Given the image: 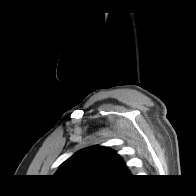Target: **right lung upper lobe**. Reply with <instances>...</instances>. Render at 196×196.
Masks as SVG:
<instances>
[{
	"label": "right lung upper lobe",
	"instance_id": "right-lung-upper-lobe-1",
	"mask_svg": "<svg viewBox=\"0 0 196 196\" xmlns=\"http://www.w3.org/2000/svg\"><path fill=\"white\" fill-rule=\"evenodd\" d=\"M56 175L98 181L126 177L129 176V172L114 151L106 147L93 146L67 159Z\"/></svg>",
	"mask_w": 196,
	"mask_h": 196
}]
</instances>
